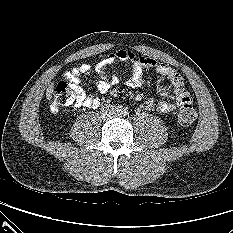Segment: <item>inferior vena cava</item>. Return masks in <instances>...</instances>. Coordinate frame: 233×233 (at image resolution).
<instances>
[{"label": "inferior vena cava", "mask_w": 233, "mask_h": 233, "mask_svg": "<svg viewBox=\"0 0 233 233\" xmlns=\"http://www.w3.org/2000/svg\"><path fill=\"white\" fill-rule=\"evenodd\" d=\"M113 116V113L112 111L107 115L108 118L112 117Z\"/></svg>", "instance_id": "1"}]
</instances>
